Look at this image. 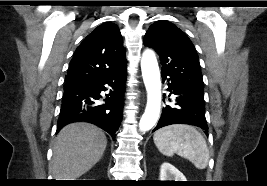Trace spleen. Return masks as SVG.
Here are the masks:
<instances>
[{
    "label": "spleen",
    "mask_w": 267,
    "mask_h": 186,
    "mask_svg": "<svg viewBox=\"0 0 267 186\" xmlns=\"http://www.w3.org/2000/svg\"><path fill=\"white\" fill-rule=\"evenodd\" d=\"M159 151L166 156H179L188 159L198 169L208 165L209 150L203 135L194 127L176 124L163 127L153 136Z\"/></svg>",
    "instance_id": "3e777b00"
}]
</instances>
